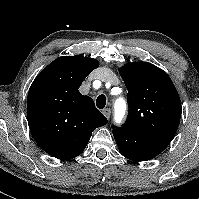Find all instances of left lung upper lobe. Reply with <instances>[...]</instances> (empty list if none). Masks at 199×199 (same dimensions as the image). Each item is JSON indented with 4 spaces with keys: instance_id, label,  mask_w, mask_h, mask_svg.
<instances>
[{
    "instance_id": "1",
    "label": "left lung upper lobe",
    "mask_w": 199,
    "mask_h": 199,
    "mask_svg": "<svg viewBox=\"0 0 199 199\" xmlns=\"http://www.w3.org/2000/svg\"><path fill=\"white\" fill-rule=\"evenodd\" d=\"M119 73L129 107L122 127L170 143L181 117L180 97L170 77L148 62L126 64Z\"/></svg>"
}]
</instances>
